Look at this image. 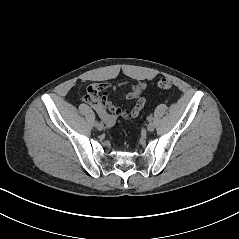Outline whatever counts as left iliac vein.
<instances>
[{"label":"left iliac vein","mask_w":239,"mask_h":239,"mask_svg":"<svg viewBox=\"0 0 239 239\" xmlns=\"http://www.w3.org/2000/svg\"><path fill=\"white\" fill-rule=\"evenodd\" d=\"M154 129H155L154 123L150 122V123L147 125V130H148L149 132H152V131H154Z\"/></svg>","instance_id":"1"}]
</instances>
